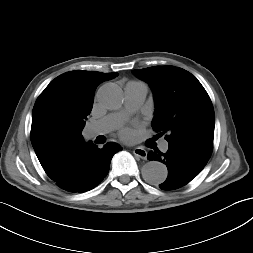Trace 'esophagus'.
I'll return each mask as SVG.
<instances>
[{"label": "esophagus", "instance_id": "obj_1", "mask_svg": "<svg viewBox=\"0 0 253 253\" xmlns=\"http://www.w3.org/2000/svg\"><path fill=\"white\" fill-rule=\"evenodd\" d=\"M133 154L141 159L147 158V151L142 147H136L133 149Z\"/></svg>", "mask_w": 253, "mask_h": 253}]
</instances>
